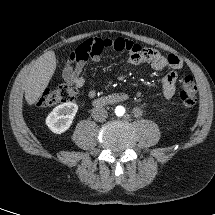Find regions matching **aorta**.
<instances>
[{
	"instance_id": "762f6f07",
	"label": "aorta",
	"mask_w": 215,
	"mask_h": 215,
	"mask_svg": "<svg viewBox=\"0 0 215 215\" xmlns=\"http://www.w3.org/2000/svg\"><path fill=\"white\" fill-rule=\"evenodd\" d=\"M115 114L117 116H123L125 114V108L123 106H117L115 108Z\"/></svg>"
}]
</instances>
